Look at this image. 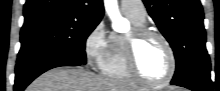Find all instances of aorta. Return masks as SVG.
<instances>
[{
  "instance_id": "762f6f07",
  "label": "aorta",
  "mask_w": 220,
  "mask_h": 91,
  "mask_svg": "<svg viewBox=\"0 0 220 91\" xmlns=\"http://www.w3.org/2000/svg\"><path fill=\"white\" fill-rule=\"evenodd\" d=\"M104 6L112 20L113 29L118 32L124 31L126 29V21L120 15L117 0H104Z\"/></svg>"
}]
</instances>
